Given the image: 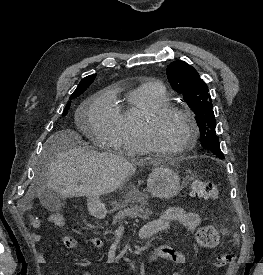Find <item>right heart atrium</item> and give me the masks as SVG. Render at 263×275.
<instances>
[{
  "label": "right heart atrium",
  "mask_w": 263,
  "mask_h": 275,
  "mask_svg": "<svg viewBox=\"0 0 263 275\" xmlns=\"http://www.w3.org/2000/svg\"><path fill=\"white\" fill-rule=\"evenodd\" d=\"M115 109L113 95L107 92L97 96L88 110V117L96 138L108 146H115L116 144L114 129Z\"/></svg>",
  "instance_id": "obj_1"
}]
</instances>
